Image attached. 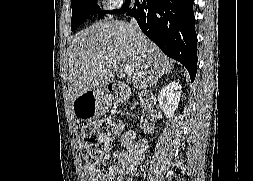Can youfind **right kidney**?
Wrapping results in <instances>:
<instances>
[{"mask_svg":"<svg viewBox=\"0 0 253 181\" xmlns=\"http://www.w3.org/2000/svg\"><path fill=\"white\" fill-rule=\"evenodd\" d=\"M181 88L182 86L179 83L171 82L161 90L158 96L159 106L169 120L173 118L178 107Z\"/></svg>","mask_w":253,"mask_h":181,"instance_id":"ca27d5eb","label":"right kidney"}]
</instances>
